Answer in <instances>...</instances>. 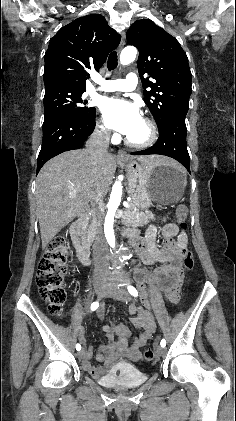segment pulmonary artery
Listing matches in <instances>:
<instances>
[{
  "label": "pulmonary artery",
  "mask_w": 236,
  "mask_h": 421,
  "mask_svg": "<svg viewBox=\"0 0 236 421\" xmlns=\"http://www.w3.org/2000/svg\"><path fill=\"white\" fill-rule=\"evenodd\" d=\"M137 83V75L130 73L125 78L107 81L99 87H91L87 90V94L90 95L96 91H130L136 87Z\"/></svg>",
  "instance_id": "e3ab8cb5"
}]
</instances>
